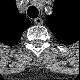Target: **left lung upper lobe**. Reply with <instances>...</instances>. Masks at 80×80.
<instances>
[{"instance_id": "1", "label": "left lung upper lobe", "mask_w": 80, "mask_h": 80, "mask_svg": "<svg viewBox=\"0 0 80 80\" xmlns=\"http://www.w3.org/2000/svg\"><path fill=\"white\" fill-rule=\"evenodd\" d=\"M48 26L55 37L65 44H70L76 40V27L80 28L75 20L70 3L64 0H57L53 9V14L46 19Z\"/></svg>"}]
</instances>
